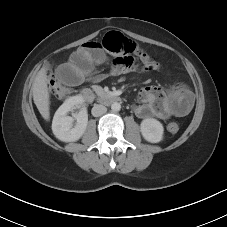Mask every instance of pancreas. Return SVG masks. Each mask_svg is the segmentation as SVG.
<instances>
[{"label":"pancreas","instance_id":"pancreas-1","mask_svg":"<svg viewBox=\"0 0 227 227\" xmlns=\"http://www.w3.org/2000/svg\"><path fill=\"white\" fill-rule=\"evenodd\" d=\"M98 94H101L103 92L102 89L97 90Z\"/></svg>","mask_w":227,"mask_h":227}]
</instances>
